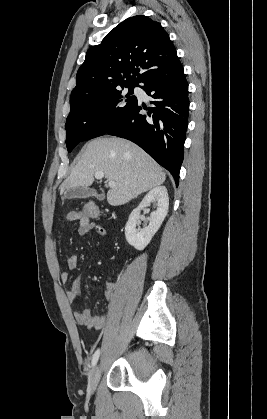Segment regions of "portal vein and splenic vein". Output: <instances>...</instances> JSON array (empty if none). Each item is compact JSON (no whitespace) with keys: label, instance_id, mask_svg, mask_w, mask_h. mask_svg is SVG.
<instances>
[{"label":"portal vein and splenic vein","instance_id":"1","mask_svg":"<svg viewBox=\"0 0 267 419\" xmlns=\"http://www.w3.org/2000/svg\"><path fill=\"white\" fill-rule=\"evenodd\" d=\"M104 177V173L103 172H97L95 174V178L96 179H102ZM116 186L114 181H109V187L110 188H114Z\"/></svg>","mask_w":267,"mask_h":419}]
</instances>
